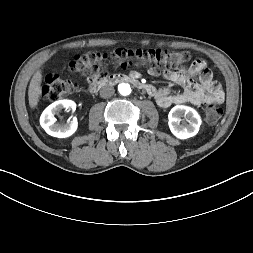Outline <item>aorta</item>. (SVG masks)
Segmentation results:
<instances>
[{
	"label": "aorta",
	"instance_id": "aorta-1",
	"mask_svg": "<svg viewBox=\"0 0 253 253\" xmlns=\"http://www.w3.org/2000/svg\"><path fill=\"white\" fill-rule=\"evenodd\" d=\"M118 91L121 95H129L131 93V87L128 83H120L118 85Z\"/></svg>",
	"mask_w": 253,
	"mask_h": 253
}]
</instances>
